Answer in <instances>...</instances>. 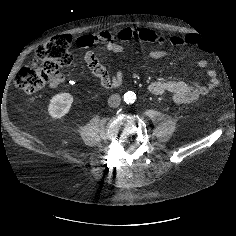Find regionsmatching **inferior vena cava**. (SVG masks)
<instances>
[{
	"label": "inferior vena cava",
	"instance_id": "1",
	"mask_svg": "<svg viewBox=\"0 0 236 236\" xmlns=\"http://www.w3.org/2000/svg\"><path fill=\"white\" fill-rule=\"evenodd\" d=\"M121 103V97L119 94H112L108 99V105L112 108H116Z\"/></svg>",
	"mask_w": 236,
	"mask_h": 236
}]
</instances>
